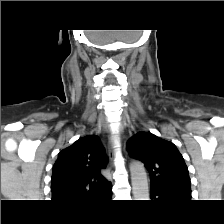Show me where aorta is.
I'll return each instance as SVG.
<instances>
[{"label":"aorta","mask_w":224,"mask_h":224,"mask_svg":"<svg viewBox=\"0 0 224 224\" xmlns=\"http://www.w3.org/2000/svg\"><path fill=\"white\" fill-rule=\"evenodd\" d=\"M132 192L135 200L149 199V186L144 165L139 161L130 164Z\"/></svg>","instance_id":"1"}]
</instances>
